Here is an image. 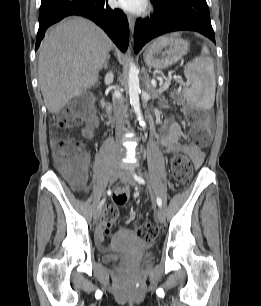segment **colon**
<instances>
[{"label":"colon","mask_w":261,"mask_h":306,"mask_svg":"<svg viewBox=\"0 0 261 306\" xmlns=\"http://www.w3.org/2000/svg\"><path fill=\"white\" fill-rule=\"evenodd\" d=\"M94 120L91 99L88 95L75 99L64 108L57 117V126L64 130L73 129L83 123L91 126ZM190 141L197 147H206L211 140L208 119L197 110H190ZM55 160L65 177L75 185H82L86 180L83 144L74 138L64 137L56 141ZM171 172L175 181L187 182L193 174V165L189 156L183 152L176 153L171 161ZM128 194L125 188L114 193L112 203L106 208L102 217L104 233L109 235L119 214V206L126 203ZM137 235L145 241H153L158 235L157 227L152 223H143L136 228Z\"/></svg>","instance_id":"1"}]
</instances>
